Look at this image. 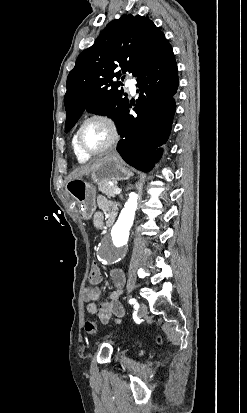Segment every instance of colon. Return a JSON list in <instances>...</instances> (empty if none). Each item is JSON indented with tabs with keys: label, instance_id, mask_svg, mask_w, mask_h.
Listing matches in <instances>:
<instances>
[{
	"label": "colon",
	"instance_id": "colon-1",
	"mask_svg": "<svg viewBox=\"0 0 247 413\" xmlns=\"http://www.w3.org/2000/svg\"><path fill=\"white\" fill-rule=\"evenodd\" d=\"M88 276L89 281L91 283L100 282L101 281V267L97 265L95 262L88 263ZM84 331L87 334H95L96 333V323L92 319H86L84 321ZM156 340L161 343L162 338L159 334L156 335Z\"/></svg>",
	"mask_w": 247,
	"mask_h": 413
}]
</instances>
